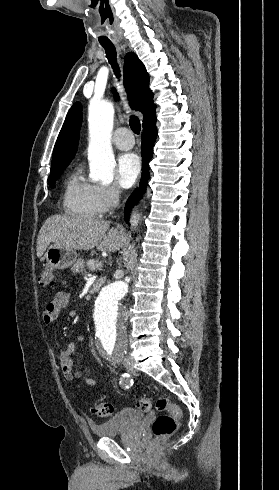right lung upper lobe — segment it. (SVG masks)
<instances>
[{
	"mask_svg": "<svg viewBox=\"0 0 279 490\" xmlns=\"http://www.w3.org/2000/svg\"><path fill=\"white\" fill-rule=\"evenodd\" d=\"M125 87L129 94L133 109L141 111L144 115L143 129L155 127L156 115L153 93L149 90V75L143 63L136 54L130 52L125 56L124 62ZM115 98H119L113 90ZM82 125L81 105L75 103L69 110L62 129L57 138L51 170L68 165L74 157L79 140V131Z\"/></svg>",
	"mask_w": 279,
	"mask_h": 490,
	"instance_id": "right-lung-upper-lobe-1",
	"label": "right lung upper lobe"
}]
</instances>
